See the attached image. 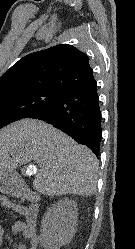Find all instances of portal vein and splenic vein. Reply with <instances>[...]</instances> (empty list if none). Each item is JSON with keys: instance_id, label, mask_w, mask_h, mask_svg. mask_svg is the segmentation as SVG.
<instances>
[{"instance_id": "1", "label": "portal vein and splenic vein", "mask_w": 135, "mask_h": 249, "mask_svg": "<svg viewBox=\"0 0 135 249\" xmlns=\"http://www.w3.org/2000/svg\"><path fill=\"white\" fill-rule=\"evenodd\" d=\"M29 172H30V174L36 173L37 172V168L34 165H30L29 166Z\"/></svg>"}]
</instances>
